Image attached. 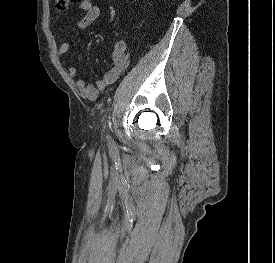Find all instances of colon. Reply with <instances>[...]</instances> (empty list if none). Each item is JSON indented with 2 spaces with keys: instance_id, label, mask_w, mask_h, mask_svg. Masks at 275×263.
I'll list each match as a JSON object with an SVG mask.
<instances>
[{
  "instance_id": "colon-1",
  "label": "colon",
  "mask_w": 275,
  "mask_h": 263,
  "mask_svg": "<svg viewBox=\"0 0 275 263\" xmlns=\"http://www.w3.org/2000/svg\"><path fill=\"white\" fill-rule=\"evenodd\" d=\"M75 1L76 0H55V9L58 12H63L71 3H74Z\"/></svg>"
}]
</instances>
